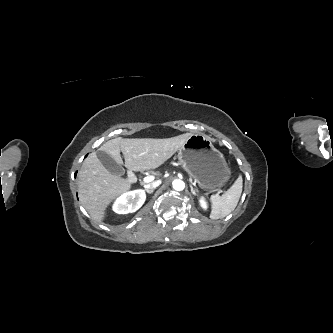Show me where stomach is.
<instances>
[{
	"mask_svg": "<svg viewBox=\"0 0 333 333\" xmlns=\"http://www.w3.org/2000/svg\"><path fill=\"white\" fill-rule=\"evenodd\" d=\"M178 158L199 187L210 193L223 187L231 176L224 155L204 134H192L179 149Z\"/></svg>",
	"mask_w": 333,
	"mask_h": 333,
	"instance_id": "0dacf381",
	"label": "stomach"
}]
</instances>
